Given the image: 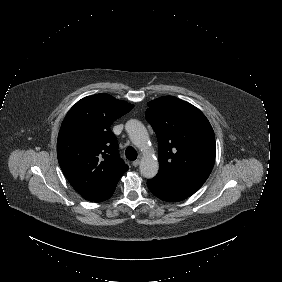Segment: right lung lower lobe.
Masks as SVG:
<instances>
[{
  "mask_svg": "<svg viewBox=\"0 0 282 282\" xmlns=\"http://www.w3.org/2000/svg\"><path fill=\"white\" fill-rule=\"evenodd\" d=\"M114 190H115V189H114ZM114 190H113L111 193H109V194H107V195H105V196H102L100 199H98V200L95 201V202H101V201H104V200L109 199V198L113 195Z\"/></svg>",
  "mask_w": 282,
  "mask_h": 282,
  "instance_id": "1",
  "label": "right lung lower lobe"
}]
</instances>
